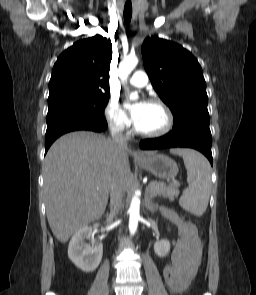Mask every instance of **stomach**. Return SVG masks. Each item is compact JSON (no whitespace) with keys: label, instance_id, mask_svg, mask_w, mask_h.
I'll return each mask as SVG.
<instances>
[{"label":"stomach","instance_id":"1","mask_svg":"<svg viewBox=\"0 0 256 295\" xmlns=\"http://www.w3.org/2000/svg\"><path fill=\"white\" fill-rule=\"evenodd\" d=\"M137 161L142 168L163 180L174 178L178 174L177 163L164 154H147Z\"/></svg>","mask_w":256,"mask_h":295}]
</instances>
